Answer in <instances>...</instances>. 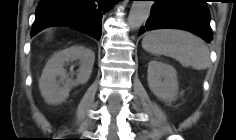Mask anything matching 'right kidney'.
Instances as JSON below:
<instances>
[{
  "instance_id": "1",
  "label": "right kidney",
  "mask_w": 236,
  "mask_h": 140,
  "mask_svg": "<svg viewBox=\"0 0 236 140\" xmlns=\"http://www.w3.org/2000/svg\"><path fill=\"white\" fill-rule=\"evenodd\" d=\"M95 55L82 46H72L57 52L46 64L39 80L41 95L48 104H59L69 97L72 87L85 84L92 73ZM70 61H78L80 67L77 78L70 79L64 66Z\"/></svg>"
}]
</instances>
